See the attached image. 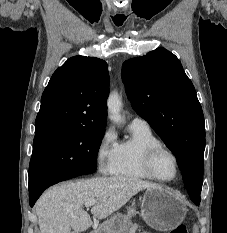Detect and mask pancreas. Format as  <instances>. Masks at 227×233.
<instances>
[{
    "mask_svg": "<svg viewBox=\"0 0 227 233\" xmlns=\"http://www.w3.org/2000/svg\"><path fill=\"white\" fill-rule=\"evenodd\" d=\"M128 225H129V228H128V232L127 233H135V231L138 228V225L137 224H133L131 222H129Z\"/></svg>",
    "mask_w": 227,
    "mask_h": 233,
    "instance_id": "obj_1",
    "label": "pancreas"
}]
</instances>
